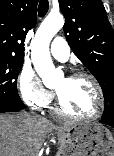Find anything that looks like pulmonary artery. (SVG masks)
Returning a JSON list of instances; mask_svg holds the SVG:
<instances>
[{"label":"pulmonary artery","mask_w":114,"mask_h":156,"mask_svg":"<svg viewBox=\"0 0 114 156\" xmlns=\"http://www.w3.org/2000/svg\"><path fill=\"white\" fill-rule=\"evenodd\" d=\"M52 56L59 61H66L70 55V48L66 40L62 37H56L50 47Z\"/></svg>","instance_id":"obj_1"}]
</instances>
